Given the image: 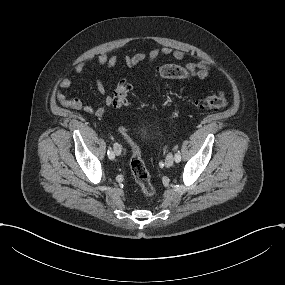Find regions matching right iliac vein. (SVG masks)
<instances>
[{"label": "right iliac vein", "instance_id": "right-iliac-vein-1", "mask_svg": "<svg viewBox=\"0 0 285 285\" xmlns=\"http://www.w3.org/2000/svg\"><path fill=\"white\" fill-rule=\"evenodd\" d=\"M113 150H114V153L117 155V156H119L120 154H121V147H120V145L118 144V143H115L114 145H113Z\"/></svg>", "mask_w": 285, "mask_h": 285}]
</instances>
